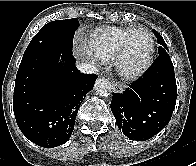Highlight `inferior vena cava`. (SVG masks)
<instances>
[{"label": "inferior vena cava", "instance_id": "602c4592", "mask_svg": "<svg viewBox=\"0 0 196 166\" xmlns=\"http://www.w3.org/2000/svg\"><path fill=\"white\" fill-rule=\"evenodd\" d=\"M77 68L81 73L85 74H96L98 72L97 68L93 64L87 62L80 63Z\"/></svg>", "mask_w": 196, "mask_h": 166}]
</instances>
